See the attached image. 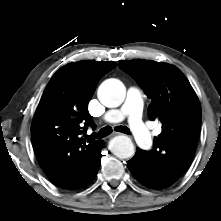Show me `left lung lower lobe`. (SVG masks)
Segmentation results:
<instances>
[{"label":"left lung lower lobe","instance_id":"0a47b994","mask_svg":"<svg viewBox=\"0 0 221 221\" xmlns=\"http://www.w3.org/2000/svg\"><path fill=\"white\" fill-rule=\"evenodd\" d=\"M127 166L133 177L142 185L156 190L166 188L158 181L149 162L146 151L137 148L135 156L128 161Z\"/></svg>","mask_w":221,"mask_h":221}]
</instances>
